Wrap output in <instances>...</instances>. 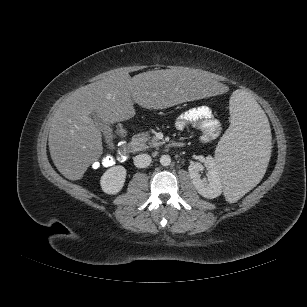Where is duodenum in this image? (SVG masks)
I'll return each instance as SVG.
<instances>
[{
    "label": "duodenum",
    "instance_id": "duodenum-1",
    "mask_svg": "<svg viewBox=\"0 0 307 307\" xmlns=\"http://www.w3.org/2000/svg\"><path fill=\"white\" fill-rule=\"evenodd\" d=\"M170 146L171 147H174V148H181V147H183V143L182 142H180V141H172L171 143H170ZM129 153H128V155L129 154H133V153H135V152H137L138 151V149H139V143L137 142V141H135V140H130L129 141Z\"/></svg>",
    "mask_w": 307,
    "mask_h": 307
}]
</instances>
